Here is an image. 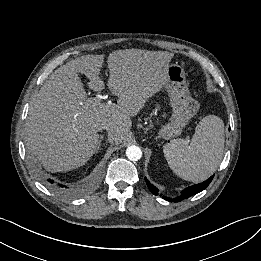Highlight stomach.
<instances>
[{"label": "stomach", "mask_w": 261, "mask_h": 261, "mask_svg": "<svg viewBox=\"0 0 261 261\" xmlns=\"http://www.w3.org/2000/svg\"><path fill=\"white\" fill-rule=\"evenodd\" d=\"M164 87L170 97L173 113L169 122L159 129L157 137L169 140L182 133L191 118L198 112L200 105L191 97L185 71L179 64L168 66L167 81Z\"/></svg>", "instance_id": "1"}]
</instances>
